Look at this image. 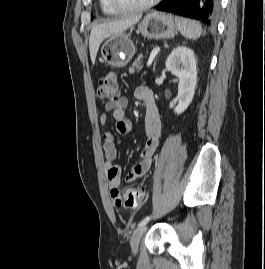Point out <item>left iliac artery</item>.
<instances>
[{"label": "left iliac artery", "instance_id": "obj_1", "mask_svg": "<svg viewBox=\"0 0 265 269\" xmlns=\"http://www.w3.org/2000/svg\"><path fill=\"white\" fill-rule=\"evenodd\" d=\"M150 220V216L145 217L139 224L138 227L145 225Z\"/></svg>", "mask_w": 265, "mask_h": 269}]
</instances>
